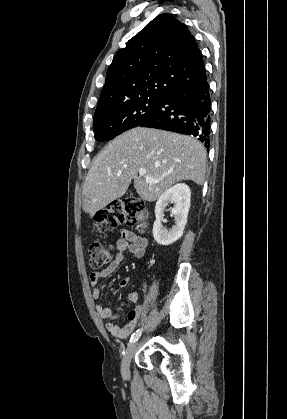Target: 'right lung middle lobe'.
<instances>
[{
  "mask_svg": "<svg viewBox=\"0 0 287 419\" xmlns=\"http://www.w3.org/2000/svg\"><path fill=\"white\" fill-rule=\"evenodd\" d=\"M162 97L138 98L106 108L94 114L95 139L108 141L139 126L162 102Z\"/></svg>",
  "mask_w": 287,
  "mask_h": 419,
  "instance_id": "dd1d6c3e",
  "label": "right lung middle lobe"
}]
</instances>
